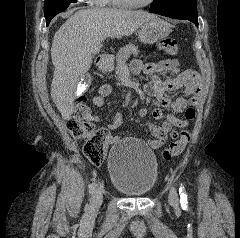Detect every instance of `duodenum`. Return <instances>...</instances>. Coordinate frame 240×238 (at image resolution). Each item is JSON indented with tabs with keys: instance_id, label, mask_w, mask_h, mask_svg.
<instances>
[{
	"instance_id": "duodenum-1",
	"label": "duodenum",
	"mask_w": 240,
	"mask_h": 238,
	"mask_svg": "<svg viewBox=\"0 0 240 238\" xmlns=\"http://www.w3.org/2000/svg\"><path fill=\"white\" fill-rule=\"evenodd\" d=\"M96 64L102 72L108 71L109 62L106 58H98Z\"/></svg>"
}]
</instances>
